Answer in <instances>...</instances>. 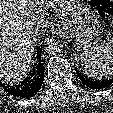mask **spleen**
I'll use <instances>...</instances> for the list:
<instances>
[{
  "label": "spleen",
  "mask_w": 113,
  "mask_h": 113,
  "mask_svg": "<svg viewBox=\"0 0 113 113\" xmlns=\"http://www.w3.org/2000/svg\"><path fill=\"white\" fill-rule=\"evenodd\" d=\"M79 59L89 77L109 78L113 75V37L98 43L93 49H84Z\"/></svg>",
  "instance_id": "1"
}]
</instances>
